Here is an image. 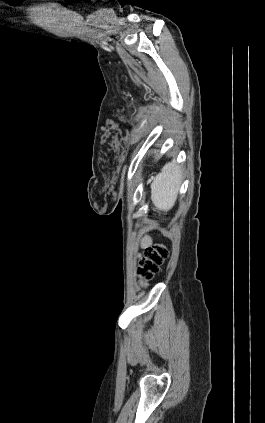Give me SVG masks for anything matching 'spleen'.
<instances>
[{"instance_id":"obj_1","label":"spleen","mask_w":265,"mask_h":423,"mask_svg":"<svg viewBox=\"0 0 265 423\" xmlns=\"http://www.w3.org/2000/svg\"><path fill=\"white\" fill-rule=\"evenodd\" d=\"M181 176V168L176 166L175 161L167 163L156 175L151 184V199L157 209L168 211L174 206Z\"/></svg>"}]
</instances>
